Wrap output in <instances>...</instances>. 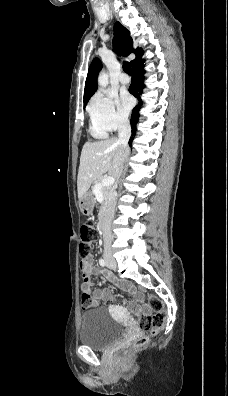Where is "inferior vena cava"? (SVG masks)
<instances>
[{
  "mask_svg": "<svg viewBox=\"0 0 228 396\" xmlns=\"http://www.w3.org/2000/svg\"><path fill=\"white\" fill-rule=\"evenodd\" d=\"M131 136V127L129 121L126 120H120L118 123V141L119 143L123 146L124 148V154L127 156L129 152L128 148V141ZM123 169V164L119 168V174L118 178L121 175ZM117 188L115 186L112 190L111 195L108 198L107 202V225L103 231V238H104V253L105 254H111V244H112V232H111V222L114 218V213H115V193L114 190Z\"/></svg>",
  "mask_w": 228,
  "mask_h": 396,
  "instance_id": "1",
  "label": "inferior vena cava"
}]
</instances>
